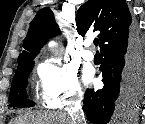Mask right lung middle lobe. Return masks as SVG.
Wrapping results in <instances>:
<instances>
[{
	"label": "right lung middle lobe",
	"mask_w": 145,
	"mask_h": 124,
	"mask_svg": "<svg viewBox=\"0 0 145 124\" xmlns=\"http://www.w3.org/2000/svg\"><path fill=\"white\" fill-rule=\"evenodd\" d=\"M33 63L25 64L16 71V74L12 81L11 92L9 101L14 107H31L33 102L26 99V85L27 77L31 72Z\"/></svg>",
	"instance_id": "obj_1"
}]
</instances>
